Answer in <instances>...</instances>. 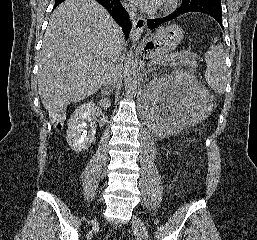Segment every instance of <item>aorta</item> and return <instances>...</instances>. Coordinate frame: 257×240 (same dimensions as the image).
Segmentation results:
<instances>
[{"label": "aorta", "instance_id": "obj_1", "mask_svg": "<svg viewBox=\"0 0 257 240\" xmlns=\"http://www.w3.org/2000/svg\"><path fill=\"white\" fill-rule=\"evenodd\" d=\"M123 80L127 96L134 97L137 93V63L134 52L127 53L123 66Z\"/></svg>", "mask_w": 257, "mask_h": 240}]
</instances>
